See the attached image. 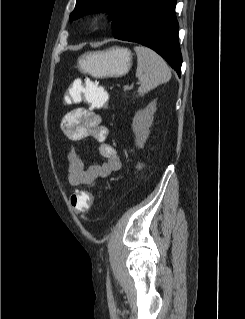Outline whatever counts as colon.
Returning <instances> with one entry per match:
<instances>
[{"label": "colon", "instance_id": "5ec220e1", "mask_svg": "<svg viewBox=\"0 0 245 319\" xmlns=\"http://www.w3.org/2000/svg\"><path fill=\"white\" fill-rule=\"evenodd\" d=\"M76 99L78 102L86 103L92 109H104L108 103V94L90 77H85L84 82L77 90ZM91 203L92 195L88 191H75L70 196L71 208L76 213L84 214Z\"/></svg>", "mask_w": 245, "mask_h": 319}]
</instances>
